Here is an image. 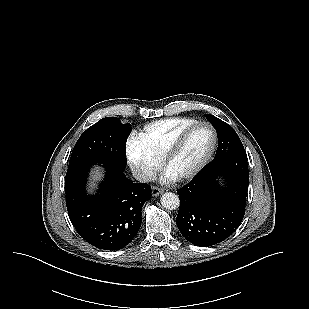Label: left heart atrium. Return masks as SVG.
Segmentation results:
<instances>
[{
  "label": "left heart atrium",
  "instance_id": "1",
  "mask_svg": "<svg viewBox=\"0 0 309 309\" xmlns=\"http://www.w3.org/2000/svg\"><path fill=\"white\" fill-rule=\"evenodd\" d=\"M175 178V176L172 174V173H170L169 171L166 173V175H165V177H164V180H166V181H169V180H172V179H174Z\"/></svg>",
  "mask_w": 309,
  "mask_h": 309
}]
</instances>
